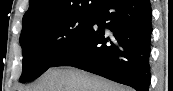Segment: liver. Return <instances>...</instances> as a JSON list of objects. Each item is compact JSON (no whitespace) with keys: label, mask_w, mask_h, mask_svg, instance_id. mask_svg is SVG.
<instances>
[{"label":"liver","mask_w":173,"mask_h":91,"mask_svg":"<svg viewBox=\"0 0 173 91\" xmlns=\"http://www.w3.org/2000/svg\"><path fill=\"white\" fill-rule=\"evenodd\" d=\"M24 91H132L101 76L74 68L48 69L35 84Z\"/></svg>","instance_id":"1"}]
</instances>
